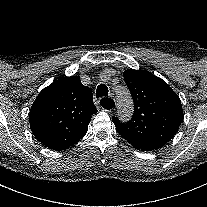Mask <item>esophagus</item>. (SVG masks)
I'll return each instance as SVG.
<instances>
[{
	"label": "esophagus",
	"mask_w": 207,
	"mask_h": 207,
	"mask_svg": "<svg viewBox=\"0 0 207 207\" xmlns=\"http://www.w3.org/2000/svg\"><path fill=\"white\" fill-rule=\"evenodd\" d=\"M112 106H115V101H113L112 103L108 104L106 107H102V109L104 111H112L113 110Z\"/></svg>",
	"instance_id": "1"
}]
</instances>
